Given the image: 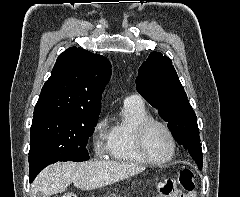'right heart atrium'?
I'll use <instances>...</instances> for the list:
<instances>
[{"label": "right heart atrium", "instance_id": "d8ad5b80", "mask_svg": "<svg viewBox=\"0 0 240 197\" xmlns=\"http://www.w3.org/2000/svg\"><path fill=\"white\" fill-rule=\"evenodd\" d=\"M93 147L97 155H102L107 150L108 132L105 117L99 119L92 131Z\"/></svg>", "mask_w": 240, "mask_h": 197}]
</instances>
